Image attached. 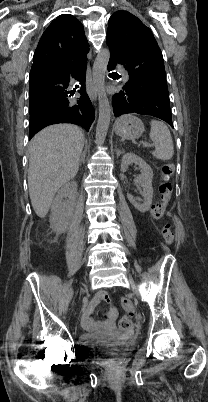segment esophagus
<instances>
[{
	"mask_svg": "<svg viewBox=\"0 0 208 402\" xmlns=\"http://www.w3.org/2000/svg\"><path fill=\"white\" fill-rule=\"evenodd\" d=\"M86 89H87V93L89 95V98L93 102H95L96 99H97V93H96L95 85L93 83L92 73H91L90 69H89L88 74H87Z\"/></svg>",
	"mask_w": 208,
	"mask_h": 402,
	"instance_id": "esophagus-1",
	"label": "esophagus"
}]
</instances>
